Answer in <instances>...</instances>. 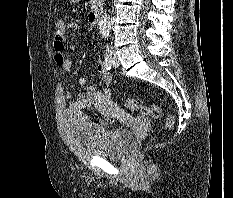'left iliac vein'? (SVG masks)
<instances>
[{"mask_svg":"<svg viewBox=\"0 0 233 198\" xmlns=\"http://www.w3.org/2000/svg\"><path fill=\"white\" fill-rule=\"evenodd\" d=\"M112 56H113V66L115 68L119 67L120 66V61H119V59H118V57H117V55L115 54L114 51H112Z\"/></svg>","mask_w":233,"mask_h":198,"instance_id":"4c4485c4","label":"left iliac vein"}]
</instances>
